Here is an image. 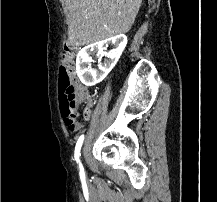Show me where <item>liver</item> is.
Segmentation results:
<instances>
[{
  "label": "liver",
  "instance_id": "obj_1",
  "mask_svg": "<svg viewBox=\"0 0 217 202\" xmlns=\"http://www.w3.org/2000/svg\"><path fill=\"white\" fill-rule=\"evenodd\" d=\"M67 12L68 46H87L126 34L142 0H60Z\"/></svg>",
  "mask_w": 217,
  "mask_h": 202
}]
</instances>
